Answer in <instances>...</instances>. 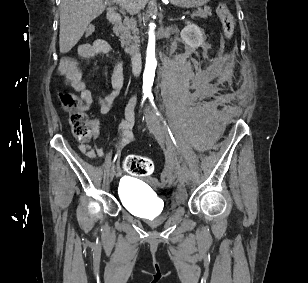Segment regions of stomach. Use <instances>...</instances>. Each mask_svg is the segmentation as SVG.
I'll return each mask as SVG.
<instances>
[{"mask_svg":"<svg viewBox=\"0 0 308 283\" xmlns=\"http://www.w3.org/2000/svg\"><path fill=\"white\" fill-rule=\"evenodd\" d=\"M170 2L179 7L192 8L202 6L209 2V0H170Z\"/></svg>","mask_w":308,"mask_h":283,"instance_id":"1","label":"stomach"}]
</instances>
